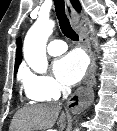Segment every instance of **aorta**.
Returning a JSON list of instances; mask_svg holds the SVG:
<instances>
[{"label": "aorta", "instance_id": "obj_1", "mask_svg": "<svg viewBox=\"0 0 117 131\" xmlns=\"http://www.w3.org/2000/svg\"><path fill=\"white\" fill-rule=\"evenodd\" d=\"M54 26V21L40 17L31 26L24 40L23 54L25 61L32 70L39 74L46 73L48 68L46 43Z\"/></svg>", "mask_w": 117, "mask_h": 131}]
</instances>
